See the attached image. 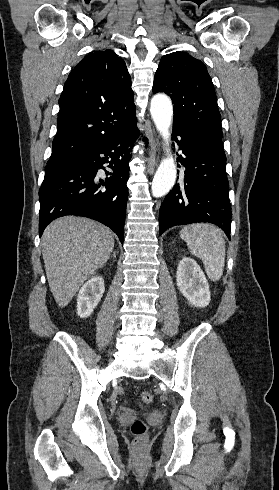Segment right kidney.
I'll list each match as a JSON object with an SVG mask.
<instances>
[{"mask_svg": "<svg viewBox=\"0 0 279 490\" xmlns=\"http://www.w3.org/2000/svg\"><path fill=\"white\" fill-rule=\"evenodd\" d=\"M105 292L102 276H91L80 288L77 296V314L79 318H88L98 306Z\"/></svg>", "mask_w": 279, "mask_h": 490, "instance_id": "right-kidney-1", "label": "right kidney"}]
</instances>
